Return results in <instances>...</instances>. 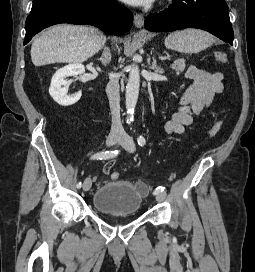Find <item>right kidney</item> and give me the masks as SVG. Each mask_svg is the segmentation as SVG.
<instances>
[{
  "label": "right kidney",
  "mask_w": 255,
  "mask_h": 272,
  "mask_svg": "<svg viewBox=\"0 0 255 272\" xmlns=\"http://www.w3.org/2000/svg\"><path fill=\"white\" fill-rule=\"evenodd\" d=\"M85 73V67L82 64H69L53 75L49 88V94L61 106H70L75 104L81 98L82 92L79 91L73 95L67 94L66 77L77 76Z\"/></svg>",
  "instance_id": "1"
}]
</instances>
